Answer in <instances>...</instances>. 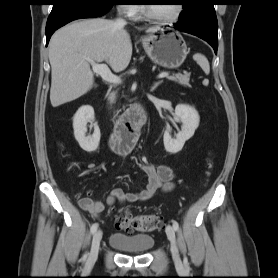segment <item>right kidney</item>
Here are the masks:
<instances>
[{"label": "right kidney", "instance_id": "obj_1", "mask_svg": "<svg viewBox=\"0 0 278 278\" xmlns=\"http://www.w3.org/2000/svg\"><path fill=\"white\" fill-rule=\"evenodd\" d=\"M94 109L92 106L84 105L78 109L73 118L74 136L80 147L86 152L95 151L100 142V129L94 122ZM94 127L92 135L86 136L87 123Z\"/></svg>", "mask_w": 278, "mask_h": 278}]
</instances>
